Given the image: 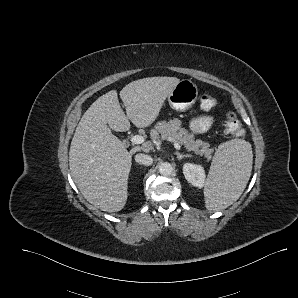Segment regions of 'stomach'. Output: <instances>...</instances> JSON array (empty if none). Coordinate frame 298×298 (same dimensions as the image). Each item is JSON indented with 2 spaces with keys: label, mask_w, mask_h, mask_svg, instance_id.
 <instances>
[{
  "label": "stomach",
  "mask_w": 298,
  "mask_h": 298,
  "mask_svg": "<svg viewBox=\"0 0 298 298\" xmlns=\"http://www.w3.org/2000/svg\"><path fill=\"white\" fill-rule=\"evenodd\" d=\"M198 87L190 79H181L167 95L171 109L183 112L190 109L198 99Z\"/></svg>",
  "instance_id": "0dacf381"
}]
</instances>
